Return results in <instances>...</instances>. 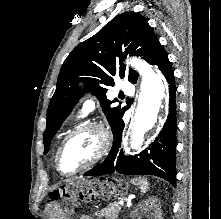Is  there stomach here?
I'll return each mask as SVG.
<instances>
[{"instance_id": "obj_1", "label": "stomach", "mask_w": 221, "mask_h": 219, "mask_svg": "<svg viewBox=\"0 0 221 219\" xmlns=\"http://www.w3.org/2000/svg\"><path fill=\"white\" fill-rule=\"evenodd\" d=\"M128 189V183L122 179L109 178H75L57 190L62 199H71V204H92L95 199H121Z\"/></svg>"}]
</instances>
